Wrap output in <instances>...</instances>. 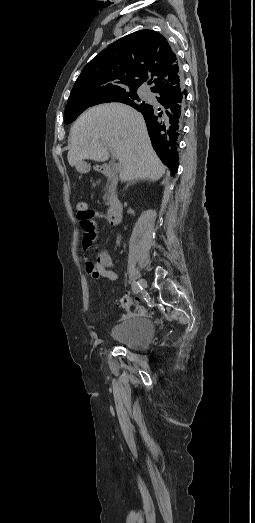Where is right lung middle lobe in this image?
<instances>
[{
  "label": "right lung middle lobe",
  "instance_id": "obj_1",
  "mask_svg": "<svg viewBox=\"0 0 255 523\" xmlns=\"http://www.w3.org/2000/svg\"><path fill=\"white\" fill-rule=\"evenodd\" d=\"M138 95L136 92L125 93L116 96H108L101 99H98L93 102L88 103H79V104H68L65 107V123L69 124L74 121L83 111L88 107H92L97 104L106 103V102H121L127 104L130 101L137 100Z\"/></svg>",
  "mask_w": 255,
  "mask_h": 523
}]
</instances>
